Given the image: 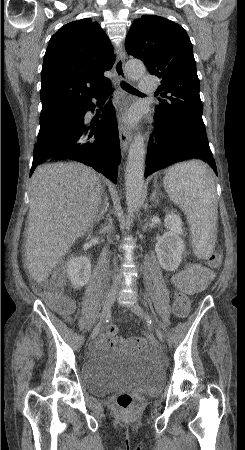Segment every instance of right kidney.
I'll return each instance as SVG.
<instances>
[{"label":"right kidney","instance_id":"ca27d5eb","mask_svg":"<svg viewBox=\"0 0 245 450\" xmlns=\"http://www.w3.org/2000/svg\"><path fill=\"white\" fill-rule=\"evenodd\" d=\"M91 274V262L85 256H72L68 261L67 275L71 284L80 288L88 283Z\"/></svg>","mask_w":245,"mask_h":450}]
</instances>
